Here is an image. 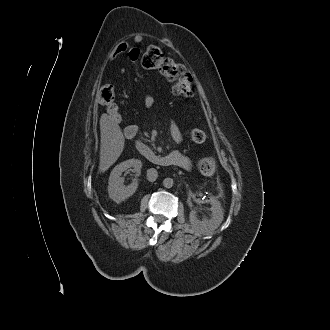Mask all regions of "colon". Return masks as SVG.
<instances>
[{
    "instance_id": "obj_1",
    "label": "colon",
    "mask_w": 330,
    "mask_h": 330,
    "mask_svg": "<svg viewBox=\"0 0 330 330\" xmlns=\"http://www.w3.org/2000/svg\"><path fill=\"white\" fill-rule=\"evenodd\" d=\"M141 65L146 70L157 71L163 78L172 83L171 91L179 97H191L194 94L193 78L186 68L163 54L157 46H149L141 57ZM100 103L106 106L108 113L116 120L121 115L115 103V90L110 84L103 85L98 92ZM189 141L201 144L206 140L203 131L193 129L187 132ZM198 170L204 176H212L216 171V162L211 157H204L198 161Z\"/></svg>"
}]
</instances>
